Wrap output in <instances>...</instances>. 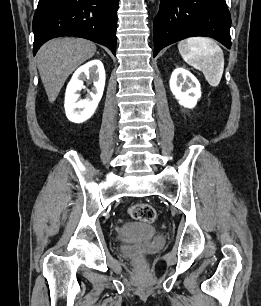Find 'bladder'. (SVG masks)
I'll return each instance as SVG.
<instances>
[{
  "instance_id": "1",
  "label": "bladder",
  "mask_w": 261,
  "mask_h": 306,
  "mask_svg": "<svg viewBox=\"0 0 261 306\" xmlns=\"http://www.w3.org/2000/svg\"><path fill=\"white\" fill-rule=\"evenodd\" d=\"M157 233L154 226L143 222H127L117 230L119 242H135L149 239Z\"/></svg>"
}]
</instances>
